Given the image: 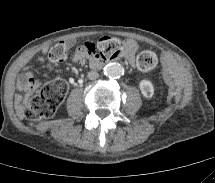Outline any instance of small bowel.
<instances>
[{"instance_id": "small-bowel-1", "label": "small bowel", "mask_w": 215, "mask_h": 183, "mask_svg": "<svg viewBox=\"0 0 215 183\" xmlns=\"http://www.w3.org/2000/svg\"><path fill=\"white\" fill-rule=\"evenodd\" d=\"M137 50V43L134 40H126L124 44L123 56L130 62H134L135 52ZM46 51V48L43 49ZM86 55L79 49L75 55L76 61H83ZM41 81L34 77L30 70H24L18 79L17 86L20 93L16 95L15 101L18 109H22L28 98L35 93L40 87Z\"/></svg>"}]
</instances>
